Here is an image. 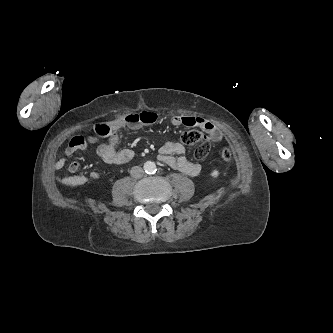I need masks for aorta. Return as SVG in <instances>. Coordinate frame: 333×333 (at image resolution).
Here are the masks:
<instances>
[{"mask_svg": "<svg viewBox=\"0 0 333 333\" xmlns=\"http://www.w3.org/2000/svg\"><path fill=\"white\" fill-rule=\"evenodd\" d=\"M147 174H153L156 172V164L153 161H146L143 166Z\"/></svg>", "mask_w": 333, "mask_h": 333, "instance_id": "762f6f07", "label": "aorta"}]
</instances>
